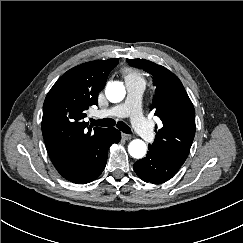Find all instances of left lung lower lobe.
<instances>
[{
	"label": "left lung lower lobe",
	"mask_w": 243,
	"mask_h": 243,
	"mask_svg": "<svg viewBox=\"0 0 243 243\" xmlns=\"http://www.w3.org/2000/svg\"><path fill=\"white\" fill-rule=\"evenodd\" d=\"M183 164L149 146L147 156L134 163V171L145 182L160 184L171 179Z\"/></svg>",
	"instance_id": "1"
}]
</instances>
